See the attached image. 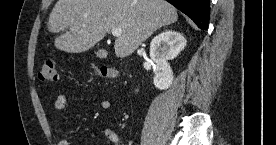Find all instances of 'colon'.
Wrapping results in <instances>:
<instances>
[{
  "instance_id": "colon-1",
  "label": "colon",
  "mask_w": 276,
  "mask_h": 145,
  "mask_svg": "<svg viewBox=\"0 0 276 145\" xmlns=\"http://www.w3.org/2000/svg\"><path fill=\"white\" fill-rule=\"evenodd\" d=\"M97 74L103 78H115L117 73L113 69L101 67L97 70ZM38 79L41 82L55 83L58 80V73L54 61H45L38 70Z\"/></svg>"
}]
</instances>
